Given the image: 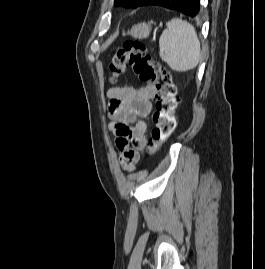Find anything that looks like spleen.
Returning a JSON list of instances; mask_svg holds the SVG:
<instances>
[{"mask_svg": "<svg viewBox=\"0 0 265 269\" xmlns=\"http://www.w3.org/2000/svg\"><path fill=\"white\" fill-rule=\"evenodd\" d=\"M166 26L159 39L160 58L177 72L194 69L201 56L195 28L180 18L171 19Z\"/></svg>", "mask_w": 265, "mask_h": 269, "instance_id": "1", "label": "spleen"}]
</instances>
